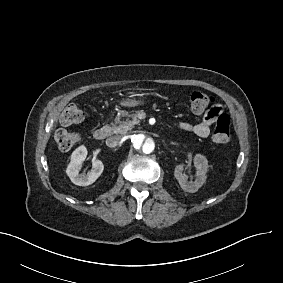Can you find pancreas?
Listing matches in <instances>:
<instances>
[{"mask_svg": "<svg viewBox=\"0 0 283 283\" xmlns=\"http://www.w3.org/2000/svg\"><path fill=\"white\" fill-rule=\"evenodd\" d=\"M123 117H126V119H123ZM137 123H139V120L137 119L136 114L130 115L128 112H121V114L115 120L112 131L115 134L125 135Z\"/></svg>", "mask_w": 283, "mask_h": 283, "instance_id": "obj_1", "label": "pancreas"}]
</instances>
